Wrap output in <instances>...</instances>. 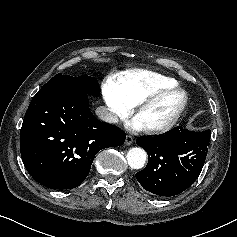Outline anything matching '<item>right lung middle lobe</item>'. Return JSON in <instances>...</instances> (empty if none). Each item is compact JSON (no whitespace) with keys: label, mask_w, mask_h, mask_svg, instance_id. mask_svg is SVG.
Returning a JSON list of instances; mask_svg holds the SVG:
<instances>
[{"label":"right lung middle lobe","mask_w":237,"mask_h":237,"mask_svg":"<svg viewBox=\"0 0 237 237\" xmlns=\"http://www.w3.org/2000/svg\"><path fill=\"white\" fill-rule=\"evenodd\" d=\"M48 85H70L83 90L87 94L96 97L100 95V87L98 81L94 77L86 75L75 78L69 75H62L61 73H58L56 76L50 79L44 86Z\"/></svg>","instance_id":"1"}]
</instances>
